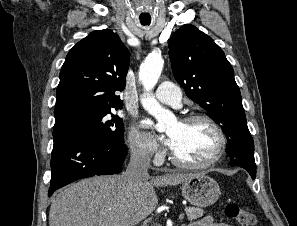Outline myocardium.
I'll list each match as a JSON object with an SVG mask.
<instances>
[{
    "mask_svg": "<svg viewBox=\"0 0 297 226\" xmlns=\"http://www.w3.org/2000/svg\"><path fill=\"white\" fill-rule=\"evenodd\" d=\"M202 121L207 123L216 133L218 137V145L215 149L214 154L210 157L207 161L202 163H189L181 160L173 150L170 151V160L171 162L176 165L177 167L183 169H190V170H201L207 169L213 165H215L223 156L226 145H227V137L222 129V127L210 116L206 114H190L181 118V123H190V122H197Z\"/></svg>",
    "mask_w": 297,
    "mask_h": 226,
    "instance_id": "obj_1",
    "label": "myocardium"
}]
</instances>
